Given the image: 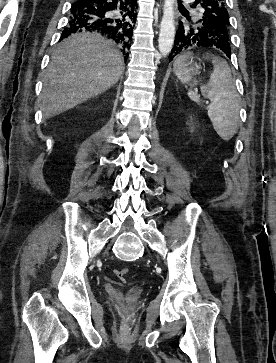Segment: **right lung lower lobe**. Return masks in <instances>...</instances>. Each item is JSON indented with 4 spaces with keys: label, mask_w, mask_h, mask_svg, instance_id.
Segmentation results:
<instances>
[{
    "label": "right lung lower lobe",
    "mask_w": 276,
    "mask_h": 363,
    "mask_svg": "<svg viewBox=\"0 0 276 363\" xmlns=\"http://www.w3.org/2000/svg\"><path fill=\"white\" fill-rule=\"evenodd\" d=\"M136 8V0H75L61 39L74 33L96 32L112 39L124 54L130 48Z\"/></svg>",
    "instance_id": "right-lung-lower-lobe-1"
}]
</instances>
